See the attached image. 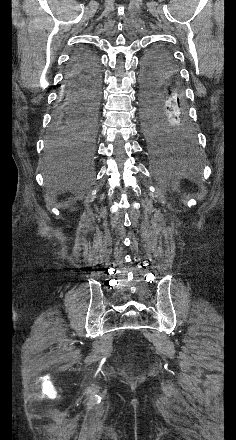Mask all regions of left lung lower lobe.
<instances>
[{
    "mask_svg": "<svg viewBox=\"0 0 236 440\" xmlns=\"http://www.w3.org/2000/svg\"><path fill=\"white\" fill-rule=\"evenodd\" d=\"M141 85L142 131L150 146L158 150L191 141L185 92L169 52L151 64L143 63Z\"/></svg>",
    "mask_w": 236,
    "mask_h": 440,
    "instance_id": "left-lung-lower-lobe-1",
    "label": "left lung lower lobe"
}]
</instances>
